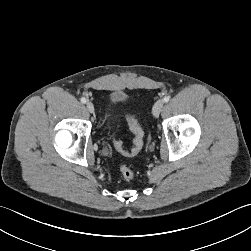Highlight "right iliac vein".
<instances>
[{
    "instance_id": "1",
    "label": "right iliac vein",
    "mask_w": 251,
    "mask_h": 251,
    "mask_svg": "<svg viewBox=\"0 0 251 251\" xmlns=\"http://www.w3.org/2000/svg\"><path fill=\"white\" fill-rule=\"evenodd\" d=\"M86 108H87V110L90 112V113H93L94 112V105H93V103L92 102H87L86 103Z\"/></svg>"
}]
</instances>
